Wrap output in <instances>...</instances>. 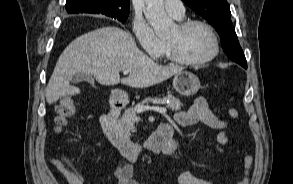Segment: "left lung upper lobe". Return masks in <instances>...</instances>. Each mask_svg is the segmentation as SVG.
Returning a JSON list of instances; mask_svg holds the SVG:
<instances>
[{
	"label": "left lung upper lobe",
	"mask_w": 293,
	"mask_h": 184,
	"mask_svg": "<svg viewBox=\"0 0 293 184\" xmlns=\"http://www.w3.org/2000/svg\"><path fill=\"white\" fill-rule=\"evenodd\" d=\"M182 1L215 27L220 36L224 52L231 60L237 63H246L231 21L230 6L226 0Z\"/></svg>",
	"instance_id": "5c2ea615"
}]
</instances>
